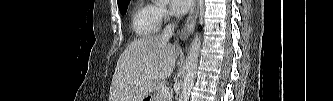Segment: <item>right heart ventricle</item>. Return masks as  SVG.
I'll return each instance as SVG.
<instances>
[{
  "label": "right heart ventricle",
  "mask_w": 333,
  "mask_h": 101,
  "mask_svg": "<svg viewBox=\"0 0 333 101\" xmlns=\"http://www.w3.org/2000/svg\"><path fill=\"white\" fill-rule=\"evenodd\" d=\"M157 8L155 2H145L136 8L132 17V28L137 36L148 38L158 31L160 18Z\"/></svg>",
  "instance_id": "obj_1"
}]
</instances>
